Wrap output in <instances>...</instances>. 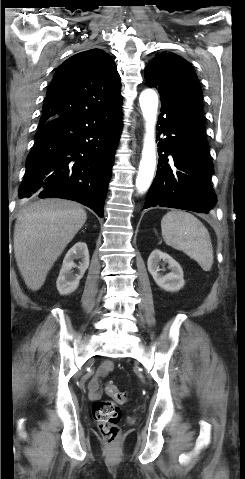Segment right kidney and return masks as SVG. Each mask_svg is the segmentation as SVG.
Here are the masks:
<instances>
[{"label":"right kidney","mask_w":245,"mask_h":479,"mask_svg":"<svg viewBox=\"0 0 245 479\" xmlns=\"http://www.w3.org/2000/svg\"><path fill=\"white\" fill-rule=\"evenodd\" d=\"M75 259H81L77 266ZM89 267V251L86 243L77 242L67 252L59 276L56 281L57 290L61 295H68L74 292L78 286L80 279ZM73 268H78V273H74Z\"/></svg>","instance_id":"right-kidney-1"}]
</instances>
